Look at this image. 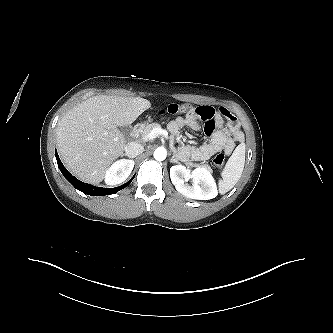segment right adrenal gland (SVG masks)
Instances as JSON below:
<instances>
[{"label":"right adrenal gland","mask_w":333,"mask_h":333,"mask_svg":"<svg viewBox=\"0 0 333 333\" xmlns=\"http://www.w3.org/2000/svg\"><path fill=\"white\" fill-rule=\"evenodd\" d=\"M123 156H126V157H128V158H130V159H134V158H135V156H129V155H127V154H123Z\"/></svg>","instance_id":"right-adrenal-gland-1"}]
</instances>
